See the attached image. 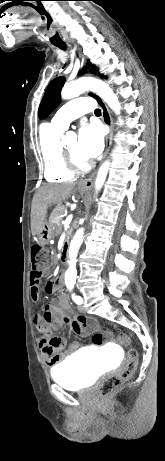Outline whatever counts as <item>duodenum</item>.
<instances>
[{
  "label": "duodenum",
  "instance_id": "obj_1",
  "mask_svg": "<svg viewBox=\"0 0 165 461\" xmlns=\"http://www.w3.org/2000/svg\"><path fill=\"white\" fill-rule=\"evenodd\" d=\"M67 243H68V240L66 239V240H65V244H67Z\"/></svg>",
  "mask_w": 165,
  "mask_h": 461
}]
</instances>
